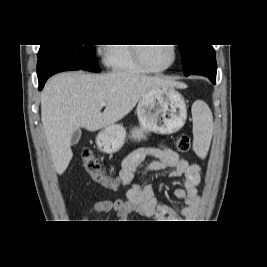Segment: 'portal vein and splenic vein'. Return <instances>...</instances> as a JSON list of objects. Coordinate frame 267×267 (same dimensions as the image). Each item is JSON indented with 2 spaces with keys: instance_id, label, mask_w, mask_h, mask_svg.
<instances>
[{
  "instance_id": "1",
  "label": "portal vein and splenic vein",
  "mask_w": 267,
  "mask_h": 267,
  "mask_svg": "<svg viewBox=\"0 0 267 267\" xmlns=\"http://www.w3.org/2000/svg\"><path fill=\"white\" fill-rule=\"evenodd\" d=\"M99 105L102 108V107L106 106V102H101Z\"/></svg>"
}]
</instances>
